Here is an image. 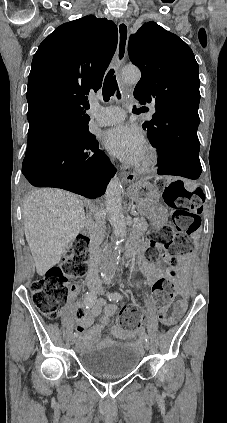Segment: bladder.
Instances as JSON below:
<instances>
[{
	"instance_id": "31cf9c89",
	"label": "bladder",
	"mask_w": 227,
	"mask_h": 423,
	"mask_svg": "<svg viewBox=\"0 0 227 423\" xmlns=\"http://www.w3.org/2000/svg\"><path fill=\"white\" fill-rule=\"evenodd\" d=\"M142 352L128 343H111L88 349L77 359L79 366L98 379H122L139 366Z\"/></svg>"
}]
</instances>
